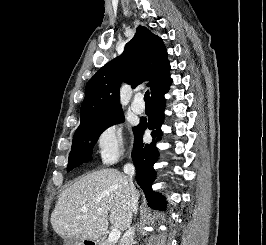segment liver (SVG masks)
Segmentation results:
<instances>
[{
    "label": "liver",
    "mask_w": 266,
    "mask_h": 245,
    "mask_svg": "<svg viewBox=\"0 0 266 245\" xmlns=\"http://www.w3.org/2000/svg\"><path fill=\"white\" fill-rule=\"evenodd\" d=\"M131 205L128 177L117 169H100L63 189L50 221L62 239L99 241L108 229V219L113 229H129L133 219ZM82 209L87 213H82Z\"/></svg>",
    "instance_id": "liver-1"
}]
</instances>
